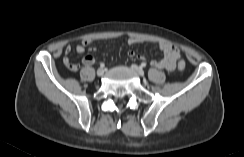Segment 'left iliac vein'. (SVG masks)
Here are the masks:
<instances>
[{"instance_id": "left-iliac-vein-1", "label": "left iliac vein", "mask_w": 244, "mask_h": 157, "mask_svg": "<svg viewBox=\"0 0 244 157\" xmlns=\"http://www.w3.org/2000/svg\"><path fill=\"white\" fill-rule=\"evenodd\" d=\"M131 68H132V70H133L135 73H137L138 75H140V76H143V75H144V71H143V69L140 68V67H138L137 65L133 64V65L131 66Z\"/></svg>"}]
</instances>
